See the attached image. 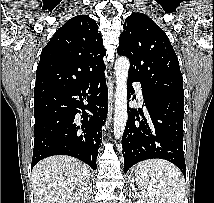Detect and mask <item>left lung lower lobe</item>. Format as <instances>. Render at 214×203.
<instances>
[{"label":"left lung lower lobe","instance_id":"obj_1","mask_svg":"<svg viewBox=\"0 0 214 203\" xmlns=\"http://www.w3.org/2000/svg\"><path fill=\"white\" fill-rule=\"evenodd\" d=\"M128 77V97L135 92ZM149 116L131 109L122 137L124 173L134 164L152 158L175 164L186 177L183 152L184 97L142 88ZM139 114L143 117L140 119Z\"/></svg>","mask_w":214,"mask_h":203}]
</instances>
